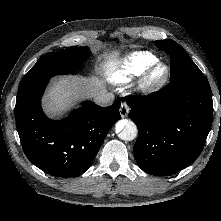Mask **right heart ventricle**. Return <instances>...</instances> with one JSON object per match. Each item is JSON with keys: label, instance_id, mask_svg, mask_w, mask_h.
<instances>
[{"label": "right heart ventricle", "instance_id": "e07e8e85", "mask_svg": "<svg viewBox=\"0 0 221 221\" xmlns=\"http://www.w3.org/2000/svg\"><path fill=\"white\" fill-rule=\"evenodd\" d=\"M157 61L158 57L151 52H134L120 62L109 65L106 72L107 79L115 85L127 84L143 75Z\"/></svg>", "mask_w": 221, "mask_h": 221}]
</instances>
